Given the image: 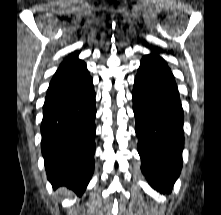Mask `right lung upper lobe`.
I'll use <instances>...</instances> for the list:
<instances>
[{"label":"right lung upper lobe","instance_id":"cb5924a9","mask_svg":"<svg viewBox=\"0 0 221 215\" xmlns=\"http://www.w3.org/2000/svg\"><path fill=\"white\" fill-rule=\"evenodd\" d=\"M86 70V64L83 60L78 59V54H70L59 66L50 82L49 88L68 81Z\"/></svg>","mask_w":221,"mask_h":215}]
</instances>
